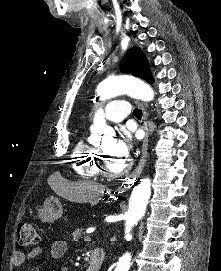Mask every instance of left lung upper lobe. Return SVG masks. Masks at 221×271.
<instances>
[{"label":"left lung upper lobe","mask_w":221,"mask_h":271,"mask_svg":"<svg viewBox=\"0 0 221 271\" xmlns=\"http://www.w3.org/2000/svg\"><path fill=\"white\" fill-rule=\"evenodd\" d=\"M120 70L124 73H131L136 77L153 83L154 79L150 72V65L142 50L138 47H132L124 56Z\"/></svg>","instance_id":"5c2ea615"}]
</instances>
